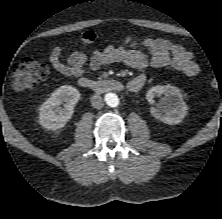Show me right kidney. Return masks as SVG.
I'll list each match as a JSON object with an SVG mask.
<instances>
[{"label":"right kidney","mask_w":222,"mask_h":219,"mask_svg":"<svg viewBox=\"0 0 222 219\" xmlns=\"http://www.w3.org/2000/svg\"><path fill=\"white\" fill-rule=\"evenodd\" d=\"M80 98L81 94L75 87L64 85L56 89L40 107V125L48 130L64 127L72 118L74 107ZM63 102L64 108L60 106Z\"/></svg>","instance_id":"obj_1"}]
</instances>
